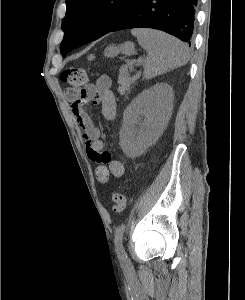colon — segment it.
<instances>
[{
	"mask_svg": "<svg viewBox=\"0 0 245 300\" xmlns=\"http://www.w3.org/2000/svg\"><path fill=\"white\" fill-rule=\"evenodd\" d=\"M61 80L69 84V87L65 90V97L68 101L74 103L78 101L88 83V74L84 69L72 66L61 74ZM112 202L113 211L117 213L122 212L126 207V200L122 193H113Z\"/></svg>",
	"mask_w": 245,
	"mask_h": 300,
	"instance_id": "obj_1",
	"label": "colon"
}]
</instances>
